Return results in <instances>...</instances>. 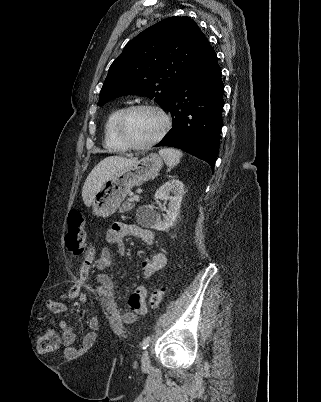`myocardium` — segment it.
<instances>
[{
    "label": "myocardium",
    "instance_id": "obj_1",
    "mask_svg": "<svg viewBox=\"0 0 321 402\" xmlns=\"http://www.w3.org/2000/svg\"><path fill=\"white\" fill-rule=\"evenodd\" d=\"M136 110L154 111V112L158 113L163 120V127H162L160 133L154 139H152L151 141L144 143V144H136V143L132 142L126 136V134L124 132V125H125V121H126L127 117L129 116V114H131L132 112H134ZM170 127H171V119H170L169 115L161 107L154 105V104H149V103H140V104L128 106L122 110V112L120 113V115L116 121L115 130H116V134H117L119 140L127 149L142 151V150L150 149L151 147H153L154 145L159 143L164 138V136L167 134Z\"/></svg>",
    "mask_w": 321,
    "mask_h": 402
}]
</instances>
